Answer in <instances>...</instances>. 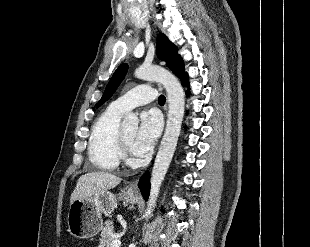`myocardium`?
<instances>
[{"label": "myocardium", "mask_w": 310, "mask_h": 247, "mask_svg": "<svg viewBox=\"0 0 310 247\" xmlns=\"http://www.w3.org/2000/svg\"><path fill=\"white\" fill-rule=\"evenodd\" d=\"M119 141H120V148H121L123 157L124 156L129 157L131 155V148H130V145L125 140V137L123 135V131H121V130H120V134H119Z\"/></svg>", "instance_id": "f54148a6"}]
</instances>
